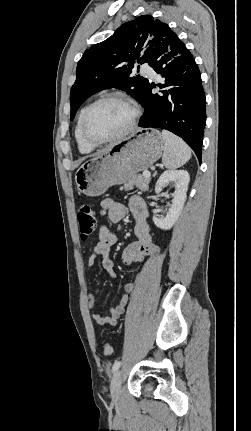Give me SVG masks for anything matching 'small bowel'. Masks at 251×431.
<instances>
[{
	"label": "small bowel",
	"instance_id": "small-bowel-1",
	"mask_svg": "<svg viewBox=\"0 0 251 431\" xmlns=\"http://www.w3.org/2000/svg\"><path fill=\"white\" fill-rule=\"evenodd\" d=\"M128 209L135 219L134 232L138 240L129 244L122 254V261L126 266H132L143 261L147 256L157 253L158 246L153 240L149 225L147 223L148 209L144 200L138 196L130 199L128 207L124 204L114 201L113 199H104L100 203V214L107 216L111 222H120L123 220ZM99 240L93 247V252L88 259V265L93 266L97 258L102 259V267L108 272L110 277L117 278V273L114 270L113 261L110 259V249L117 243V236L111 232L105 225H101L98 232ZM134 284L128 282L125 284L126 292H132ZM129 302V296L123 295L119 303L110 308L109 314H93L92 318L98 325L117 324L118 319L125 312V308ZM87 304L89 309L95 308V299L92 294L87 296Z\"/></svg>",
	"mask_w": 251,
	"mask_h": 431
}]
</instances>
